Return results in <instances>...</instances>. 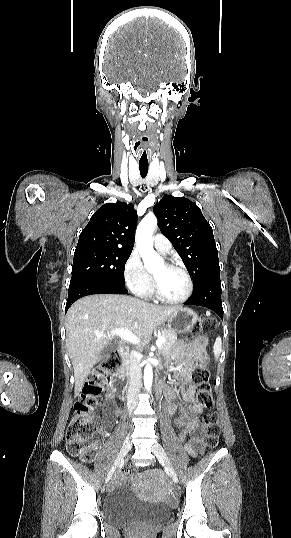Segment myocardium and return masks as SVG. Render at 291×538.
<instances>
[{"label":"myocardium","instance_id":"f54148a6","mask_svg":"<svg viewBox=\"0 0 291 538\" xmlns=\"http://www.w3.org/2000/svg\"><path fill=\"white\" fill-rule=\"evenodd\" d=\"M164 265L167 268L177 269V270H179V271H181L183 273V275L185 276L186 281H187V290H186L185 294L183 296H181L180 298H177V299L168 298V297H166V296H164L162 294L156 279L154 277H152V286H151L152 293L154 294V296L157 299H159L160 301L165 302V303H169V304H181V303H184L185 301H187L190 298V296L192 295V292H193V281H192L190 273L188 272V270L182 264L177 263V262H165Z\"/></svg>","mask_w":291,"mask_h":538}]
</instances>
